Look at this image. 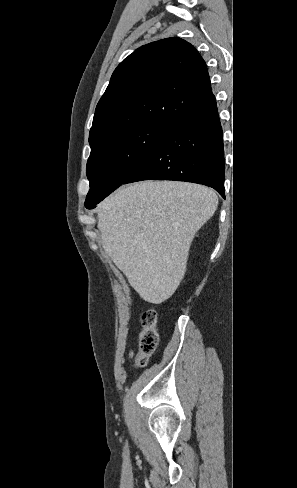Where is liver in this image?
<instances>
[{
  "label": "liver",
  "instance_id": "liver-1",
  "mask_svg": "<svg viewBox=\"0 0 297 488\" xmlns=\"http://www.w3.org/2000/svg\"><path fill=\"white\" fill-rule=\"evenodd\" d=\"M217 205L216 193L199 184L121 187L99 207L103 248L143 300L160 304L183 279L193 238Z\"/></svg>",
  "mask_w": 297,
  "mask_h": 488
}]
</instances>
